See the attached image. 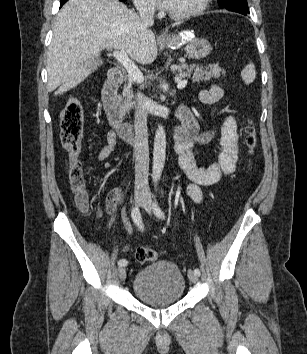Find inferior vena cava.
I'll return each mask as SVG.
<instances>
[{"mask_svg": "<svg viewBox=\"0 0 307 354\" xmlns=\"http://www.w3.org/2000/svg\"><path fill=\"white\" fill-rule=\"evenodd\" d=\"M137 10L141 23L144 27L154 24L155 9L153 6L138 4ZM138 105L135 110L134 119V158H135V192L150 193L148 185L149 171V150L147 133V112L144 104V96L137 94Z\"/></svg>", "mask_w": 307, "mask_h": 354, "instance_id": "1", "label": "inferior vena cava"}]
</instances>
